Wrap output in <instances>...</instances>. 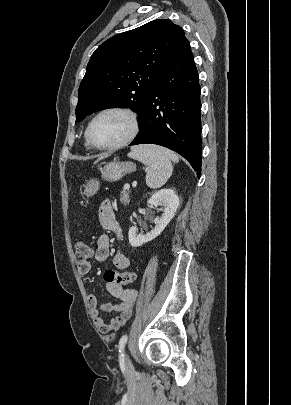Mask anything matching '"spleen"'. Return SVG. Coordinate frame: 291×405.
Masks as SVG:
<instances>
[{"label":"spleen","instance_id":"3e777b00","mask_svg":"<svg viewBox=\"0 0 291 405\" xmlns=\"http://www.w3.org/2000/svg\"><path fill=\"white\" fill-rule=\"evenodd\" d=\"M128 156L148 166L146 184L153 189L167 182L173 172L172 162L179 161L174 152L156 145L135 146Z\"/></svg>","mask_w":291,"mask_h":405}]
</instances>
